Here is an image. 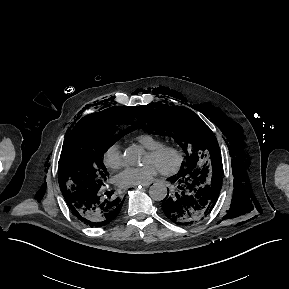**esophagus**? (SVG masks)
<instances>
[{
    "instance_id": "34e87169",
    "label": "esophagus",
    "mask_w": 289,
    "mask_h": 289,
    "mask_svg": "<svg viewBox=\"0 0 289 289\" xmlns=\"http://www.w3.org/2000/svg\"><path fill=\"white\" fill-rule=\"evenodd\" d=\"M150 186V183L149 184H146V185H143L142 187L143 188H148ZM136 189H137V187H136Z\"/></svg>"
}]
</instances>
